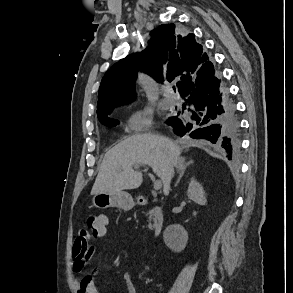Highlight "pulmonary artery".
Segmentation results:
<instances>
[{
	"label": "pulmonary artery",
	"instance_id": "obj_1",
	"mask_svg": "<svg viewBox=\"0 0 293 293\" xmlns=\"http://www.w3.org/2000/svg\"><path fill=\"white\" fill-rule=\"evenodd\" d=\"M165 93L167 96V101L171 104V105H175L178 104V97L173 93L171 88H166L165 89Z\"/></svg>",
	"mask_w": 293,
	"mask_h": 293
}]
</instances>
